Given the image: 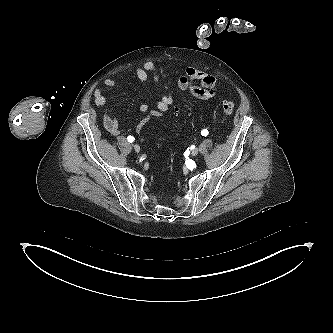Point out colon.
I'll list each match as a JSON object with an SVG mask.
<instances>
[{"instance_id":"5ec220e1","label":"colon","mask_w":333,"mask_h":333,"mask_svg":"<svg viewBox=\"0 0 333 333\" xmlns=\"http://www.w3.org/2000/svg\"><path fill=\"white\" fill-rule=\"evenodd\" d=\"M176 112H178V109H175ZM234 111V104L233 102L229 101V100H225L222 103V112L224 114L225 117H229L232 115Z\"/></svg>"}]
</instances>
